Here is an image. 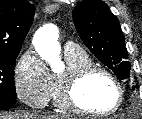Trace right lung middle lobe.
<instances>
[{
    "instance_id": "right-lung-middle-lobe-1",
    "label": "right lung middle lobe",
    "mask_w": 142,
    "mask_h": 119,
    "mask_svg": "<svg viewBox=\"0 0 142 119\" xmlns=\"http://www.w3.org/2000/svg\"><path fill=\"white\" fill-rule=\"evenodd\" d=\"M19 52L0 54V100L16 102L14 68Z\"/></svg>"
}]
</instances>
